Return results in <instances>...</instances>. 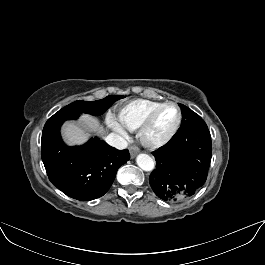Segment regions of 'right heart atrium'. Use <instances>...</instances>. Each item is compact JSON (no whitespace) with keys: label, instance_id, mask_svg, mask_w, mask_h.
Segmentation results:
<instances>
[{"label":"right heart atrium","instance_id":"obj_1","mask_svg":"<svg viewBox=\"0 0 265 265\" xmlns=\"http://www.w3.org/2000/svg\"><path fill=\"white\" fill-rule=\"evenodd\" d=\"M107 123L113 130H115L120 135L122 136L126 135L124 129L112 117H108Z\"/></svg>","mask_w":265,"mask_h":265}]
</instances>
